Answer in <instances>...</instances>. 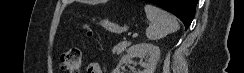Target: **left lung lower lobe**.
Wrapping results in <instances>:
<instances>
[{"mask_svg": "<svg viewBox=\"0 0 244 73\" xmlns=\"http://www.w3.org/2000/svg\"><path fill=\"white\" fill-rule=\"evenodd\" d=\"M176 15L186 29L190 26L197 5V0H145Z\"/></svg>", "mask_w": 244, "mask_h": 73, "instance_id": "obj_1", "label": "left lung lower lobe"}]
</instances>
